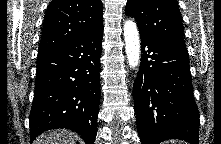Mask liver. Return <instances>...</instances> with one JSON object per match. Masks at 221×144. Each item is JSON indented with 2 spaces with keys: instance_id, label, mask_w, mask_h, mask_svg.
<instances>
[{
  "instance_id": "liver-1",
  "label": "liver",
  "mask_w": 221,
  "mask_h": 144,
  "mask_svg": "<svg viewBox=\"0 0 221 144\" xmlns=\"http://www.w3.org/2000/svg\"><path fill=\"white\" fill-rule=\"evenodd\" d=\"M75 133L60 129L41 134L34 144H75Z\"/></svg>"
}]
</instances>
